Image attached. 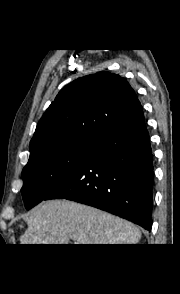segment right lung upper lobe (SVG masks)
I'll return each mask as SVG.
<instances>
[{"instance_id":"obj_1","label":"right lung upper lobe","mask_w":180,"mask_h":294,"mask_svg":"<svg viewBox=\"0 0 180 294\" xmlns=\"http://www.w3.org/2000/svg\"><path fill=\"white\" fill-rule=\"evenodd\" d=\"M140 106L132 87L118 75L98 72L79 78L59 92L37 124L30 157L70 140L98 141Z\"/></svg>"}]
</instances>
